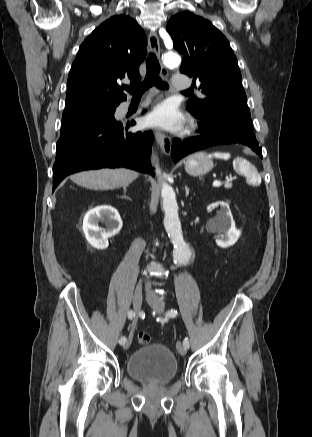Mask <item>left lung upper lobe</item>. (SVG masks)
<instances>
[{"mask_svg": "<svg viewBox=\"0 0 312 437\" xmlns=\"http://www.w3.org/2000/svg\"><path fill=\"white\" fill-rule=\"evenodd\" d=\"M166 29L183 56L180 72L193 77V85L205 95L189 100V111L204 122L226 125L240 137L256 140L237 58L225 36L188 11L171 17Z\"/></svg>", "mask_w": 312, "mask_h": 437, "instance_id": "left-lung-upper-lobe-1", "label": "left lung upper lobe"}]
</instances>
